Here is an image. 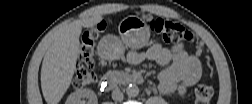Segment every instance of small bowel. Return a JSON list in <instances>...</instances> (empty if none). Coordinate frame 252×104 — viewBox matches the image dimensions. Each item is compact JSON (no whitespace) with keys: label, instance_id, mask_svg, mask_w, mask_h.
I'll use <instances>...</instances> for the list:
<instances>
[{"label":"small bowel","instance_id":"small-bowel-1","mask_svg":"<svg viewBox=\"0 0 252 104\" xmlns=\"http://www.w3.org/2000/svg\"><path fill=\"white\" fill-rule=\"evenodd\" d=\"M146 60L166 66L159 74V91L162 94L176 92L184 95L201 78L199 60L188 53L182 43L170 47L156 43L144 52H130L127 56V61L134 65Z\"/></svg>","mask_w":252,"mask_h":104}]
</instances>
